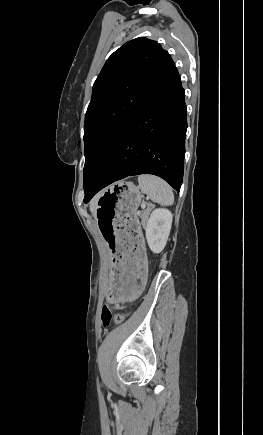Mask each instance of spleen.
<instances>
[{"instance_id":"spleen-1","label":"spleen","mask_w":263,"mask_h":435,"mask_svg":"<svg viewBox=\"0 0 263 435\" xmlns=\"http://www.w3.org/2000/svg\"><path fill=\"white\" fill-rule=\"evenodd\" d=\"M138 183L141 191L152 201L162 205L170 206L174 201V194L170 185L163 179L154 175H139Z\"/></svg>"}]
</instances>
